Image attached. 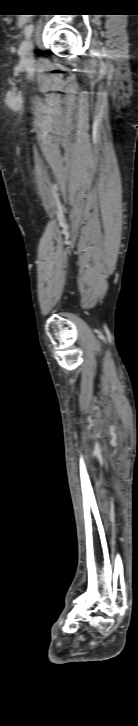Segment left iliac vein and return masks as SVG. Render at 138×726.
<instances>
[{
	"label": "left iliac vein",
	"instance_id": "left-iliac-vein-1",
	"mask_svg": "<svg viewBox=\"0 0 138 726\" xmlns=\"http://www.w3.org/2000/svg\"><path fill=\"white\" fill-rule=\"evenodd\" d=\"M19 54L23 63L33 61V42L31 38L22 42L19 48Z\"/></svg>",
	"mask_w": 138,
	"mask_h": 726
}]
</instances>
